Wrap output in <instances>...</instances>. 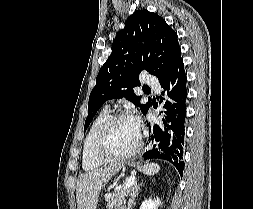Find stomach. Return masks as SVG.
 <instances>
[{
    "label": "stomach",
    "mask_w": 253,
    "mask_h": 209,
    "mask_svg": "<svg viewBox=\"0 0 253 209\" xmlns=\"http://www.w3.org/2000/svg\"><path fill=\"white\" fill-rule=\"evenodd\" d=\"M102 186H111V181H102Z\"/></svg>",
    "instance_id": "obj_1"
}]
</instances>
